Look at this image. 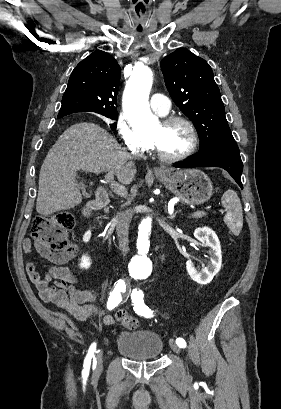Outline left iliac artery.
Returning <instances> with one entry per match:
<instances>
[{"label": "left iliac artery", "mask_w": 281, "mask_h": 409, "mask_svg": "<svg viewBox=\"0 0 281 409\" xmlns=\"http://www.w3.org/2000/svg\"><path fill=\"white\" fill-rule=\"evenodd\" d=\"M143 296V292L137 288L133 289L131 293V299L134 305L135 312L138 315L149 318L152 316V311L145 305ZM176 344L181 348L186 346V342L183 338H177Z\"/></svg>", "instance_id": "1"}]
</instances>
